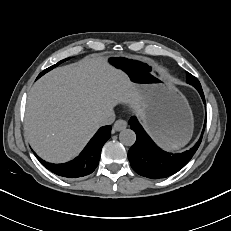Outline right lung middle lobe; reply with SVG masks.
I'll return each mask as SVG.
<instances>
[{
    "label": "right lung middle lobe",
    "instance_id": "1",
    "mask_svg": "<svg viewBox=\"0 0 231 231\" xmlns=\"http://www.w3.org/2000/svg\"><path fill=\"white\" fill-rule=\"evenodd\" d=\"M66 60H67V59H64V60L58 62L57 64H55V65H53V66H51V67L45 69L42 73L39 74V76H38L37 78L41 77L43 74H45L46 72H48V71H50L51 69L55 68V67L58 66L60 63L66 61Z\"/></svg>",
    "mask_w": 231,
    "mask_h": 231
}]
</instances>
